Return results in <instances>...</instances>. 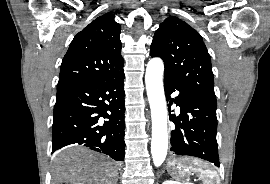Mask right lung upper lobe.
I'll list each match as a JSON object with an SVG mask.
<instances>
[{"label":"right lung upper lobe","instance_id":"obj_1","mask_svg":"<svg viewBox=\"0 0 270 184\" xmlns=\"http://www.w3.org/2000/svg\"><path fill=\"white\" fill-rule=\"evenodd\" d=\"M106 13L79 32L65 54L57 90L104 80L123 71L121 27Z\"/></svg>","mask_w":270,"mask_h":184}]
</instances>
